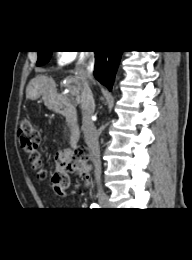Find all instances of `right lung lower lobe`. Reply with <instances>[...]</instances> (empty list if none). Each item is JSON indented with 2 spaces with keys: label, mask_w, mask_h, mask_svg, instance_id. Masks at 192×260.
Masks as SVG:
<instances>
[{
  "label": "right lung lower lobe",
  "mask_w": 192,
  "mask_h": 260,
  "mask_svg": "<svg viewBox=\"0 0 192 260\" xmlns=\"http://www.w3.org/2000/svg\"><path fill=\"white\" fill-rule=\"evenodd\" d=\"M95 52V78L103 85L112 89L114 77L119 65L122 51H94Z\"/></svg>",
  "instance_id": "right-lung-lower-lobe-1"
}]
</instances>
